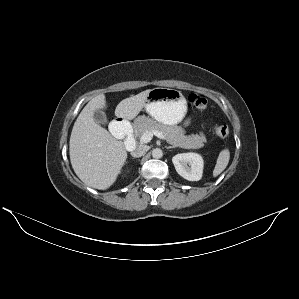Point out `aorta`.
Returning <instances> with one entry per match:
<instances>
[{
	"label": "aorta",
	"mask_w": 299,
	"mask_h": 299,
	"mask_svg": "<svg viewBox=\"0 0 299 299\" xmlns=\"http://www.w3.org/2000/svg\"><path fill=\"white\" fill-rule=\"evenodd\" d=\"M152 156H153V158L159 159V158H161L163 156V152H162L161 149L155 148L152 151Z\"/></svg>",
	"instance_id": "obj_1"
}]
</instances>
